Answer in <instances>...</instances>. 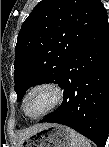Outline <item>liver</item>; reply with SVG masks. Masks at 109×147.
<instances>
[{"mask_svg":"<svg viewBox=\"0 0 109 147\" xmlns=\"http://www.w3.org/2000/svg\"><path fill=\"white\" fill-rule=\"evenodd\" d=\"M49 124H37L34 125L30 128L24 129L19 133V140L22 141L23 139L33 135L34 133H36L37 131H39L40 129L44 128L45 126H47Z\"/></svg>","mask_w":109,"mask_h":147,"instance_id":"liver-1","label":"liver"}]
</instances>
